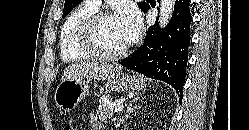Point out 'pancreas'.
I'll return each mask as SVG.
<instances>
[{
	"label": "pancreas",
	"mask_w": 249,
	"mask_h": 130,
	"mask_svg": "<svg viewBox=\"0 0 249 130\" xmlns=\"http://www.w3.org/2000/svg\"><path fill=\"white\" fill-rule=\"evenodd\" d=\"M110 97L109 96H102L99 99V105L97 107V113L96 116L104 122L110 121V119L113 118L114 114V108L115 105L110 104L109 101Z\"/></svg>",
	"instance_id": "pancreas-1"
}]
</instances>
